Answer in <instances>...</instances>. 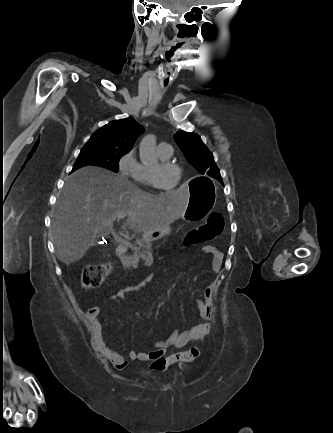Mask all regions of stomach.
Returning <instances> with one entry per match:
<instances>
[{
  "label": "stomach",
  "instance_id": "1",
  "mask_svg": "<svg viewBox=\"0 0 333 433\" xmlns=\"http://www.w3.org/2000/svg\"><path fill=\"white\" fill-rule=\"evenodd\" d=\"M217 188L211 178L207 176H197L193 178L191 187V195L187 212L183 214V219L188 224L194 225L198 220L205 218L215 207V195ZM169 232V227L166 226L158 232H154L148 236L154 239H160Z\"/></svg>",
  "mask_w": 333,
  "mask_h": 433
}]
</instances>
